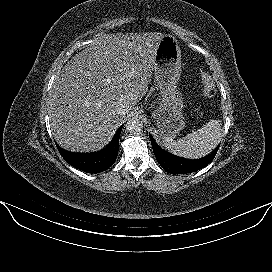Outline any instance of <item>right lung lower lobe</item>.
Segmentation results:
<instances>
[{"label": "right lung lower lobe", "instance_id": "1", "mask_svg": "<svg viewBox=\"0 0 272 272\" xmlns=\"http://www.w3.org/2000/svg\"><path fill=\"white\" fill-rule=\"evenodd\" d=\"M123 125L118 129L112 141L101 151L94 153H74L62 149L56 144L60 154L71 166L87 173H99L111 167L118 155L119 137Z\"/></svg>", "mask_w": 272, "mask_h": 272}]
</instances>
